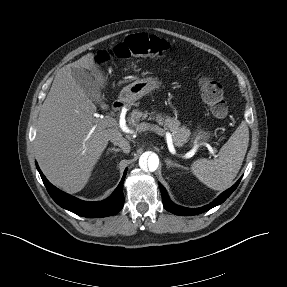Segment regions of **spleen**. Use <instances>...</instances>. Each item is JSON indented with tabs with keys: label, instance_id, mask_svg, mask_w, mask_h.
Listing matches in <instances>:
<instances>
[{
	"label": "spleen",
	"instance_id": "spleen-1",
	"mask_svg": "<svg viewBox=\"0 0 287 287\" xmlns=\"http://www.w3.org/2000/svg\"><path fill=\"white\" fill-rule=\"evenodd\" d=\"M248 143L249 129L242 121L220 149L218 158L196 160L191 166L192 173L211 189L220 191L229 188L241 168Z\"/></svg>",
	"mask_w": 287,
	"mask_h": 287
}]
</instances>
